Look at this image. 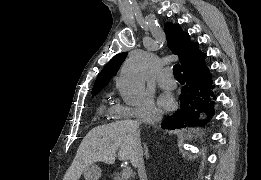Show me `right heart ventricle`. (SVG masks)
I'll use <instances>...</instances> for the list:
<instances>
[{
	"mask_svg": "<svg viewBox=\"0 0 261 180\" xmlns=\"http://www.w3.org/2000/svg\"><path fill=\"white\" fill-rule=\"evenodd\" d=\"M118 111L119 110H117V108L115 106L107 105V104L103 103L98 108V115H99L98 121L113 122L112 119L115 118Z\"/></svg>",
	"mask_w": 261,
	"mask_h": 180,
	"instance_id": "right-heart-ventricle-1",
	"label": "right heart ventricle"
}]
</instances>
